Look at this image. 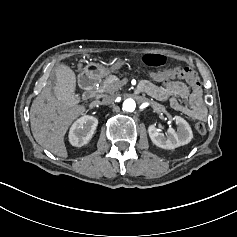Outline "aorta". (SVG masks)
<instances>
[{"label": "aorta", "instance_id": "aorta-1", "mask_svg": "<svg viewBox=\"0 0 237 237\" xmlns=\"http://www.w3.org/2000/svg\"><path fill=\"white\" fill-rule=\"evenodd\" d=\"M122 109L124 112H133L135 110V101L133 99L125 100Z\"/></svg>", "mask_w": 237, "mask_h": 237}]
</instances>
